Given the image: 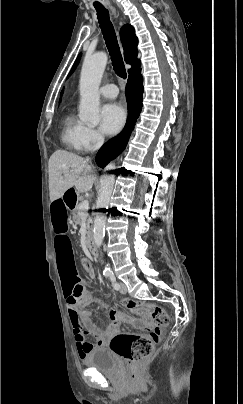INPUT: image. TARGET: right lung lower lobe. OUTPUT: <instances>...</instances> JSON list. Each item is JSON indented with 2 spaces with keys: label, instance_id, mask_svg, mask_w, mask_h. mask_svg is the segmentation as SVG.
Listing matches in <instances>:
<instances>
[{
  "label": "right lung lower lobe",
  "instance_id": "98d812e1",
  "mask_svg": "<svg viewBox=\"0 0 243 404\" xmlns=\"http://www.w3.org/2000/svg\"><path fill=\"white\" fill-rule=\"evenodd\" d=\"M128 119L123 131L104 144L96 155V163L104 168L107 163L118 156L126 147L133 126L142 109L143 80L141 70L128 79L126 86Z\"/></svg>",
  "mask_w": 243,
  "mask_h": 404
}]
</instances>
